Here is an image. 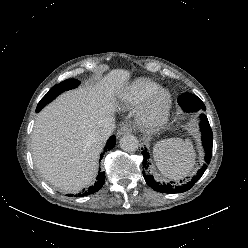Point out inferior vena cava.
I'll return each instance as SVG.
<instances>
[{"label":"inferior vena cava","instance_id":"inferior-vena-cava-1","mask_svg":"<svg viewBox=\"0 0 248 248\" xmlns=\"http://www.w3.org/2000/svg\"><path fill=\"white\" fill-rule=\"evenodd\" d=\"M115 128V120L113 117L106 118L93 131L92 137L95 142H105L112 134Z\"/></svg>","mask_w":248,"mask_h":248}]
</instances>
